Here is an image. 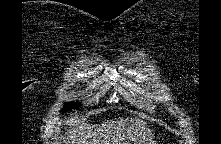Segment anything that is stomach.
<instances>
[{"label": "stomach", "instance_id": "obj_1", "mask_svg": "<svg viewBox=\"0 0 221 144\" xmlns=\"http://www.w3.org/2000/svg\"><path fill=\"white\" fill-rule=\"evenodd\" d=\"M145 144H154L153 138L150 139V140H149L147 143H145Z\"/></svg>", "mask_w": 221, "mask_h": 144}]
</instances>
